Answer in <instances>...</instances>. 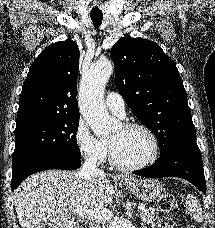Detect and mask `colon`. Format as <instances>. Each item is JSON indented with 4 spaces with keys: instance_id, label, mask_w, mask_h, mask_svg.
<instances>
[{
    "instance_id": "colon-1",
    "label": "colon",
    "mask_w": 215,
    "mask_h": 228,
    "mask_svg": "<svg viewBox=\"0 0 215 228\" xmlns=\"http://www.w3.org/2000/svg\"><path fill=\"white\" fill-rule=\"evenodd\" d=\"M177 209V203L171 194L163 195L158 201V211L161 214L172 213ZM158 228H175L174 221L171 218L160 217ZM188 228H197V225H188Z\"/></svg>"
}]
</instances>
